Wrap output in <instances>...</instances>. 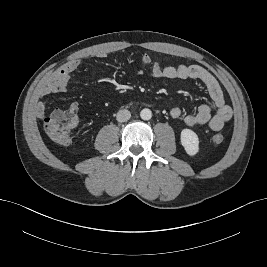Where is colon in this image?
Segmentation results:
<instances>
[{
	"mask_svg": "<svg viewBox=\"0 0 267 267\" xmlns=\"http://www.w3.org/2000/svg\"><path fill=\"white\" fill-rule=\"evenodd\" d=\"M78 123V116L75 113L63 110H55L44 119V129L46 134L56 143L67 144L70 140L71 131ZM223 141L221 134L212 137L214 144Z\"/></svg>",
	"mask_w": 267,
	"mask_h": 267,
	"instance_id": "obj_1",
	"label": "colon"
}]
</instances>
